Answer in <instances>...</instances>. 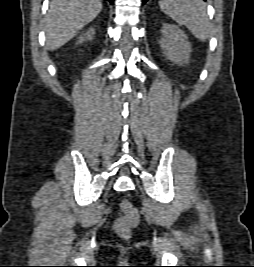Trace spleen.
Instances as JSON below:
<instances>
[{
  "label": "spleen",
  "instance_id": "obj_1",
  "mask_svg": "<svg viewBox=\"0 0 254 267\" xmlns=\"http://www.w3.org/2000/svg\"><path fill=\"white\" fill-rule=\"evenodd\" d=\"M160 9L180 25H185L201 41L211 35L203 0H160Z\"/></svg>",
  "mask_w": 254,
  "mask_h": 267
}]
</instances>
